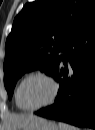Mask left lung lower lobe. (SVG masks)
<instances>
[{"label":"left lung lower lobe","mask_w":95,"mask_h":130,"mask_svg":"<svg viewBox=\"0 0 95 130\" xmlns=\"http://www.w3.org/2000/svg\"><path fill=\"white\" fill-rule=\"evenodd\" d=\"M53 77L59 83L56 100L35 114L78 127L95 128V13L78 26Z\"/></svg>","instance_id":"left-lung-lower-lobe-1"}]
</instances>
